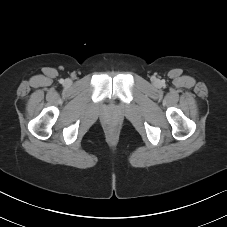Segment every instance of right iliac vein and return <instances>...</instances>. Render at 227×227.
I'll return each instance as SVG.
<instances>
[{
    "instance_id": "1",
    "label": "right iliac vein",
    "mask_w": 227,
    "mask_h": 227,
    "mask_svg": "<svg viewBox=\"0 0 227 227\" xmlns=\"http://www.w3.org/2000/svg\"><path fill=\"white\" fill-rule=\"evenodd\" d=\"M65 84H66V85H69V84H70V80H66V81H65Z\"/></svg>"
}]
</instances>
